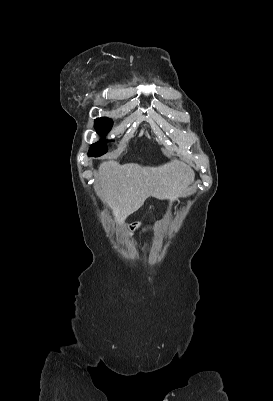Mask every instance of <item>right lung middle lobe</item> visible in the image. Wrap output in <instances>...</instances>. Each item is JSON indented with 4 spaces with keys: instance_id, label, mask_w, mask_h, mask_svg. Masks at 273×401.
Here are the masks:
<instances>
[{
    "instance_id": "right-lung-middle-lobe-1",
    "label": "right lung middle lobe",
    "mask_w": 273,
    "mask_h": 401,
    "mask_svg": "<svg viewBox=\"0 0 273 401\" xmlns=\"http://www.w3.org/2000/svg\"><path fill=\"white\" fill-rule=\"evenodd\" d=\"M112 120L106 117L98 118L95 120V129L100 135H105L112 127ZM107 152L106 140L97 142L91 145L89 149V156H100Z\"/></svg>"
}]
</instances>
